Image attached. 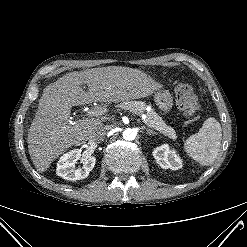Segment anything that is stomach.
<instances>
[{
    "instance_id": "0dacf381",
    "label": "stomach",
    "mask_w": 247,
    "mask_h": 247,
    "mask_svg": "<svg viewBox=\"0 0 247 247\" xmlns=\"http://www.w3.org/2000/svg\"><path fill=\"white\" fill-rule=\"evenodd\" d=\"M154 100L162 111H169L173 106V97L168 91H159L155 94Z\"/></svg>"
}]
</instances>
